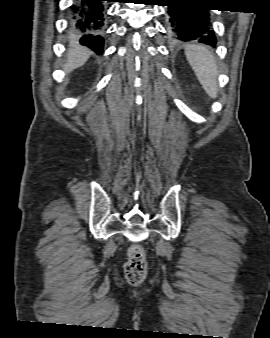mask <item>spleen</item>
Returning a JSON list of instances; mask_svg holds the SVG:
<instances>
[{"instance_id":"spleen-1","label":"spleen","mask_w":270,"mask_h":338,"mask_svg":"<svg viewBox=\"0 0 270 338\" xmlns=\"http://www.w3.org/2000/svg\"><path fill=\"white\" fill-rule=\"evenodd\" d=\"M185 55L205 92L215 99L218 94V69L211 51L205 45H187Z\"/></svg>"}]
</instances>
